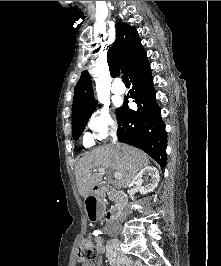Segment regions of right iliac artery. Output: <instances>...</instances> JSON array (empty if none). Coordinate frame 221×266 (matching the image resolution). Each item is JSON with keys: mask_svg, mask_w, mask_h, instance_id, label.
Listing matches in <instances>:
<instances>
[{"mask_svg": "<svg viewBox=\"0 0 221 266\" xmlns=\"http://www.w3.org/2000/svg\"><path fill=\"white\" fill-rule=\"evenodd\" d=\"M94 233H95L94 234L95 236H97L98 234H101L100 231H95Z\"/></svg>", "mask_w": 221, "mask_h": 266, "instance_id": "obj_1", "label": "right iliac artery"}]
</instances>
